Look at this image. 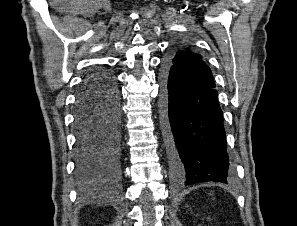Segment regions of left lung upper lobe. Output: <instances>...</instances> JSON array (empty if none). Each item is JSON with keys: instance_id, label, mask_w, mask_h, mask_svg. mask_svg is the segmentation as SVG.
<instances>
[{"instance_id": "left-lung-upper-lobe-1", "label": "left lung upper lobe", "mask_w": 297, "mask_h": 226, "mask_svg": "<svg viewBox=\"0 0 297 226\" xmlns=\"http://www.w3.org/2000/svg\"><path fill=\"white\" fill-rule=\"evenodd\" d=\"M166 60L174 73L191 88L202 90L215 86L211 71L199 54L189 49L178 50Z\"/></svg>"}]
</instances>
